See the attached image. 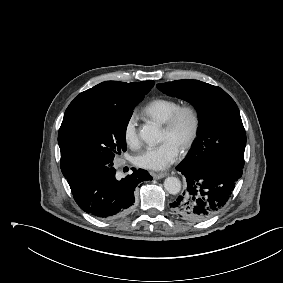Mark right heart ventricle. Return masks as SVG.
Masks as SVG:
<instances>
[{
	"instance_id": "1",
	"label": "right heart ventricle",
	"mask_w": 283,
	"mask_h": 283,
	"mask_svg": "<svg viewBox=\"0 0 283 283\" xmlns=\"http://www.w3.org/2000/svg\"><path fill=\"white\" fill-rule=\"evenodd\" d=\"M179 106L180 104L175 100L156 98L143 107L142 114L164 125Z\"/></svg>"
}]
</instances>
